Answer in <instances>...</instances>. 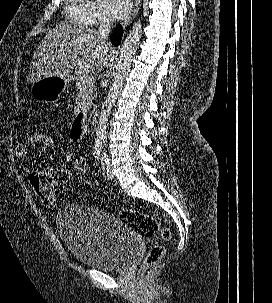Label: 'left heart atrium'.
<instances>
[{"label": "left heart atrium", "instance_id": "left-heart-atrium-1", "mask_svg": "<svg viewBox=\"0 0 272 303\" xmlns=\"http://www.w3.org/2000/svg\"><path fill=\"white\" fill-rule=\"evenodd\" d=\"M109 14L114 19H124L131 11V0H105Z\"/></svg>", "mask_w": 272, "mask_h": 303}]
</instances>
